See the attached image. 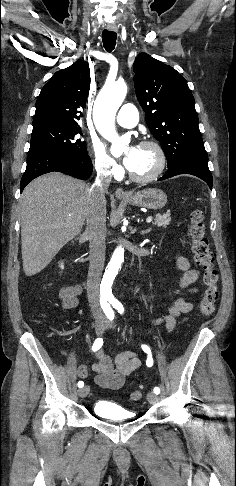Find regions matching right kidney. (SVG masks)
I'll return each mask as SVG.
<instances>
[{
    "mask_svg": "<svg viewBox=\"0 0 236 486\" xmlns=\"http://www.w3.org/2000/svg\"><path fill=\"white\" fill-rule=\"evenodd\" d=\"M60 268L61 269H64V264L63 263L60 264Z\"/></svg>",
    "mask_w": 236,
    "mask_h": 486,
    "instance_id": "obj_1",
    "label": "right kidney"
}]
</instances>
